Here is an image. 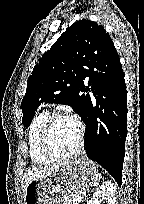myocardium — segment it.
Returning <instances> with one entry per match:
<instances>
[{
    "instance_id": "myocardium-1",
    "label": "myocardium",
    "mask_w": 144,
    "mask_h": 204,
    "mask_svg": "<svg viewBox=\"0 0 144 204\" xmlns=\"http://www.w3.org/2000/svg\"><path fill=\"white\" fill-rule=\"evenodd\" d=\"M63 118H68V119L75 121V123L78 126L79 138H78L77 146L72 153L67 154V155H58L52 151L50 144H49V137H50V132L53 127V124L58 119H63ZM84 140H85V128H84V125L81 119L77 117L76 115H73L70 113L57 112V113H53L49 115V117L47 118L42 128V131H41L39 145H40L41 152L48 159L52 161H67V160L74 159L78 155H80L84 147Z\"/></svg>"
}]
</instances>
